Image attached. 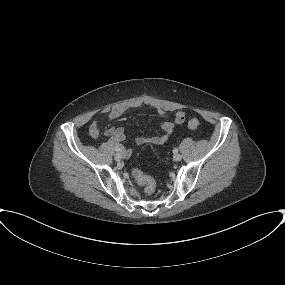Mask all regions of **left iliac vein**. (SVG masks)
<instances>
[{
	"label": "left iliac vein",
	"instance_id": "1",
	"mask_svg": "<svg viewBox=\"0 0 285 285\" xmlns=\"http://www.w3.org/2000/svg\"><path fill=\"white\" fill-rule=\"evenodd\" d=\"M174 161L178 162L182 159V156L178 153H175L173 156Z\"/></svg>",
	"mask_w": 285,
	"mask_h": 285
}]
</instances>
